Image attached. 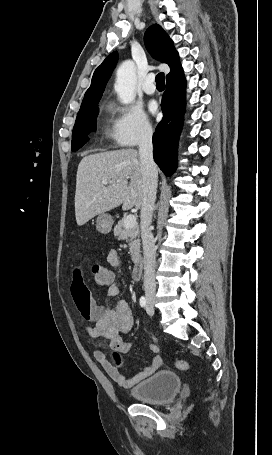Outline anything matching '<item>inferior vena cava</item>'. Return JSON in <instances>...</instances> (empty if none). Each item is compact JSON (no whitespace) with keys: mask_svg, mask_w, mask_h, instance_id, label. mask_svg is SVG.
I'll return each instance as SVG.
<instances>
[{"mask_svg":"<svg viewBox=\"0 0 272 455\" xmlns=\"http://www.w3.org/2000/svg\"><path fill=\"white\" fill-rule=\"evenodd\" d=\"M153 131L150 126L142 130L139 141V157L144 183V197L141 205V237L144 251V289L147 298H153L156 291L155 257L156 248L150 230L153 207L157 192V166L153 160Z\"/></svg>","mask_w":272,"mask_h":455,"instance_id":"1","label":"inferior vena cava"}]
</instances>
